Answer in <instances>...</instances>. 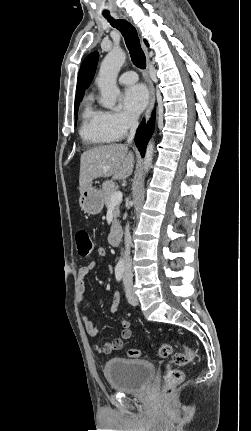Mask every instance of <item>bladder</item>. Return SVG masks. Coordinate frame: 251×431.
<instances>
[{
    "mask_svg": "<svg viewBox=\"0 0 251 431\" xmlns=\"http://www.w3.org/2000/svg\"><path fill=\"white\" fill-rule=\"evenodd\" d=\"M155 374V366L147 360L113 358L104 365V375L111 389L122 393L144 391Z\"/></svg>",
    "mask_w": 251,
    "mask_h": 431,
    "instance_id": "bladder-1",
    "label": "bladder"
}]
</instances>
